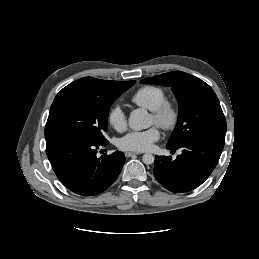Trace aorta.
I'll list each match as a JSON object with an SVG mask.
<instances>
[{"instance_id":"aorta-1","label":"aorta","mask_w":259,"mask_h":259,"mask_svg":"<svg viewBox=\"0 0 259 259\" xmlns=\"http://www.w3.org/2000/svg\"><path fill=\"white\" fill-rule=\"evenodd\" d=\"M152 125V119L149 113L142 108L135 109L131 112L129 117V126L135 130L140 131L147 129ZM155 158L151 153H146L142 157L144 164H152Z\"/></svg>"}]
</instances>
